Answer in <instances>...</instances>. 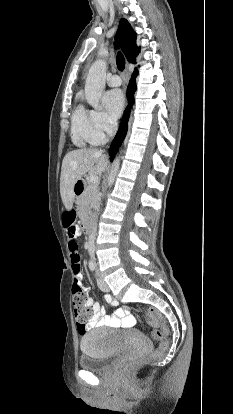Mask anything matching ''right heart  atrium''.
I'll list each match as a JSON object with an SVG mask.
<instances>
[{"instance_id":"d8ad5b80","label":"right heart atrium","mask_w":233,"mask_h":414,"mask_svg":"<svg viewBox=\"0 0 233 414\" xmlns=\"http://www.w3.org/2000/svg\"><path fill=\"white\" fill-rule=\"evenodd\" d=\"M91 115L97 141L101 143L105 140L108 134L113 132L115 128V120L102 110H92Z\"/></svg>"}]
</instances>
